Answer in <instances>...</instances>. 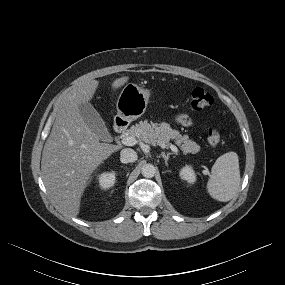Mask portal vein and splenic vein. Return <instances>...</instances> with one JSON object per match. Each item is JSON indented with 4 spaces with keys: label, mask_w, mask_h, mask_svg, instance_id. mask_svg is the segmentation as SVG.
Masks as SVG:
<instances>
[{
    "label": "portal vein and splenic vein",
    "mask_w": 285,
    "mask_h": 285,
    "mask_svg": "<svg viewBox=\"0 0 285 285\" xmlns=\"http://www.w3.org/2000/svg\"><path fill=\"white\" fill-rule=\"evenodd\" d=\"M136 142H137L136 139L132 136H125L122 138V143L126 146H134ZM161 147L165 148L166 145L162 144ZM169 147L173 152H176V153L178 152V148L175 145L170 144Z\"/></svg>",
    "instance_id": "1"
}]
</instances>
